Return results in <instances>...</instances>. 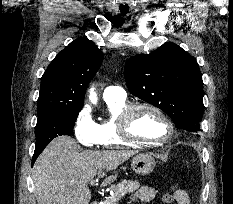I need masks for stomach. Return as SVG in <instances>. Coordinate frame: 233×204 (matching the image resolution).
I'll use <instances>...</instances> for the list:
<instances>
[{"label": "stomach", "instance_id": "obj_1", "mask_svg": "<svg viewBox=\"0 0 233 204\" xmlns=\"http://www.w3.org/2000/svg\"><path fill=\"white\" fill-rule=\"evenodd\" d=\"M155 160L149 154H138L131 160V167L133 171L139 175L150 174L155 167Z\"/></svg>", "mask_w": 233, "mask_h": 204}]
</instances>
